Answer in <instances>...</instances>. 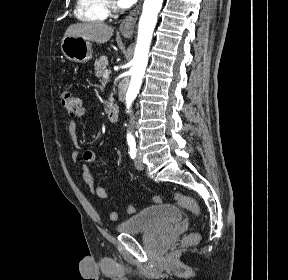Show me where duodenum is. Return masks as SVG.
Instances as JSON below:
<instances>
[{"instance_id":"1","label":"duodenum","mask_w":288,"mask_h":280,"mask_svg":"<svg viewBox=\"0 0 288 280\" xmlns=\"http://www.w3.org/2000/svg\"><path fill=\"white\" fill-rule=\"evenodd\" d=\"M107 119L110 123L115 124L119 120V108L117 105H112L107 111Z\"/></svg>"}]
</instances>
